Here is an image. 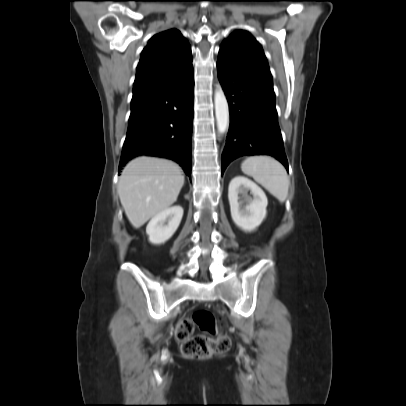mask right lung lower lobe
Listing matches in <instances>:
<instances>
[{"mask_svg":"<svg viewBox=\"0 0 406 406\" xmlns=\"http://www.w3.org/2000/svg\"><path fill=\"white\" fill-rule=\"evenodd\" d=\"M193 69L164 89L131 103L119 169L140 155L175 161L191 177Z\"/></svg>","mask_w":406,"mask_h":406,"instance_id":"1","label":"right lung lower lobe"}]
</instances>
